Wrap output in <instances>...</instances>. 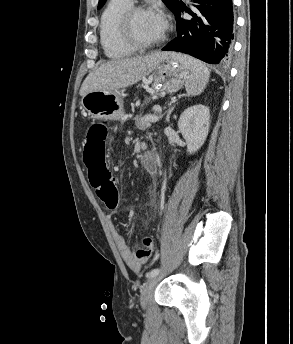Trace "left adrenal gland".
<instances>
[{
	"label": "left adrenal gland",
	"instance_id": "1",
	"mask_svg": "<svg viewBox=\"0 0 293 344\" xmlns=\"http://www.w3.org/2000/svg\"><path fill=\"white\" fill-rule=\"evenodd\" d=\"M173 109H174V108L172 107L171 109H169V111H168V113H167V117H166V121H167V122L169 121V118H170V115H171Z\"/></svg>",
	"mask_w": 293,
	"mask_h": 344
}]
</instances>
